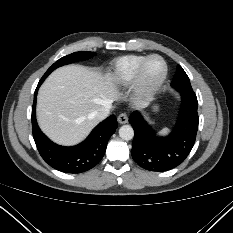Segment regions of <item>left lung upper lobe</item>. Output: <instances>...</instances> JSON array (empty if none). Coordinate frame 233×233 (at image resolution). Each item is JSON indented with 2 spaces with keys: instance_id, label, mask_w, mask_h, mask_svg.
Listing matches in <instances>:
<instances>
[{
  "instance_id": "5c2ea615",
  "label": "left lung upper lobe",
  "mask_w": 233,
  "mask_h": 233,
  "mask_svg": "<svg viewBox=\"0 0 233 233\" xmlns=\"http://www.w3.org/2000/svg\"><path fill=\"white\" fill-rule=\"evenodd\" d=\"M171 85L179 92H193L190 80L180 65H177V72L173 77Z\"/></svg>"
}]
</instances>
